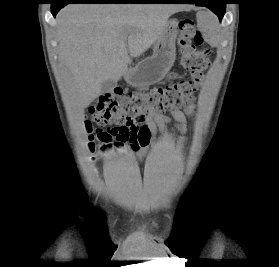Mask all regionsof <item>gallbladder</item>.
<instances>
[{"instance_id": "gallbladder-1", "label": "gallbladder", "mask_w": 279, "mask_h": 267, "mask_svg": "<svg viewBox=\"0 0 279 267\" xmlns=\"http://www.w3.org/2000/svg\"><path fill=\"white\" fill-rule=\"evenodd\" d=\"M116 86V81L113 79H107L102 83L101 93H110L114 90Z\"/></svg>"}]
</instances>
